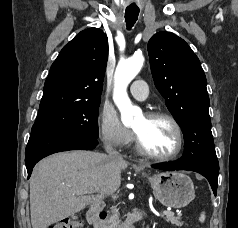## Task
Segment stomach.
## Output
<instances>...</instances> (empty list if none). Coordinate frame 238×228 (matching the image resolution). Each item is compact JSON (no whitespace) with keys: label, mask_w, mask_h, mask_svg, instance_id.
I'll return each instance as SVG.
<instances>
[{"label":"stomach","mask_w":238,"mask_h":228,"mask_svg":"<svg viewBox=\"0 0 238 228\" xmlns=\"http://www.w3.org/2000/svg\"><path fill=\"white\" fill-rule=\"evenodd\" d=\"M143 175L149 180L157 200L166 207H185L195 197L193 182L183 173L159 172L152 176Z\"/></svg>","instance_id":"0dacf381"}]
</instances>
